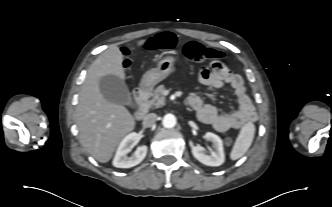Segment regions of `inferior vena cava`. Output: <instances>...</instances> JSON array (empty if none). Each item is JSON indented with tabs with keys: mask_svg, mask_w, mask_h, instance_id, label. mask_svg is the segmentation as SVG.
Listing matches in <instances>:
<instances>
[{
	"mask_svg": "<svg viewBox=\"0 0 332 207\" xmlns=\"http://www.w3.org/2000/svg\"><path fill=\"white\" fill-rule=\"evenodd\" d=\"M156 119H157V115L155 113H150V114L146 115L145 118L143 119V125L145 127H151L156 122Z\"/></svg>",
	"mask_w": 332,
	"mask_h": 207,
	"instance_id": "obj_1",
	"label": "inferior vena cava"
}]
</instances>
